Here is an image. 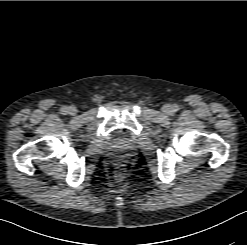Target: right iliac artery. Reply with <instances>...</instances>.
I'll use <instances>...</instances> for the list:
<instances>
[{"mask_svg": "<svg viewBox=\"0 0 247 245\" xmlns=\"http://www.w3.org/2000/svg\"><path fill=\"white\" fill-rule=\"evenodd\" d=\"M67 113H68V108H67L66 106H63V107L61 108V114L65 115V114H67Z\"/></svg>", "mask_w": 247, "mask_h": 245, "instance_id": "1", "label": "right iliac artery"}]
</instances>
